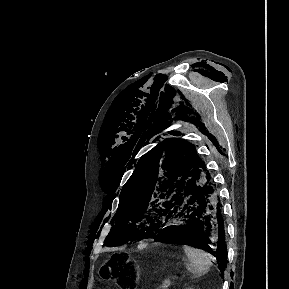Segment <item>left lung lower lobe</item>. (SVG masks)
<instances>
[{
    "label": "left lung lower lobe",
    "instance_id": "1",
    "mask_svg": "<svg viewBox=\"0 0 289 289\" xmlns=\"http://www.w3.org/2000/svg\"><path fill=\"white\" fill-rule=\"evenodd\" d=\"M222 204L213 178L187 183L170 200L168 213L160 227L146 237L171 236L194 240L193 247L206 250L216 257L223 273L227 264ZM143 237V238H146Z\"/></svg>",
    "mask_w": 289,
    "mask_h": 289
}]
</instances>
